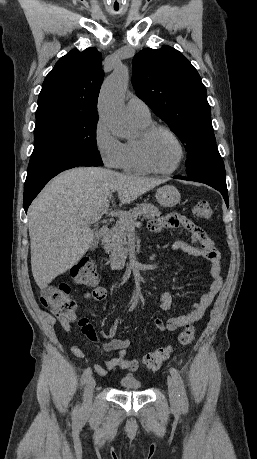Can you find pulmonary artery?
Wrapping results in <instances>:
<instances>
[{"label": "pulmonary artery", "instance_id": "pulmonary-artery-1", "mask_svg": "<svg viewBox=\"0 0 257 459\" xmlns=\"http://www.w3.org/2000/svg\"><path fill=\"white\" fill-rule=\"evenodd\" d=\"M127 111L133 118L150 120L151 113L148 105L136 96L129 98L127 102Z\"/></svg>", "mask_w": 257, "mask_h": 459}]
</instances>
